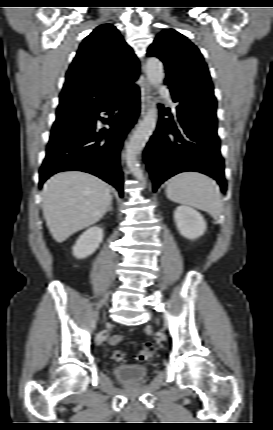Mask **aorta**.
Returning a JSON list of instances; mask_svg holds the SVG:
<instances>
[{"label":"aorta","mask_w":273,"mask_h":430,"mask_svg":"<svg viewBox=\"0 0 273 430\" xmlns=\"http://www.w3.org/2000/svg\"><path fill=\"white\" fill-rule=\"evenodd\" d=\"M146 73L152 86L156 87L162 83L165 76L162 62L159 59L150 58L147 61ZM157 116V106L153 103L147 115L138 125L130 137L129 142L126 144L125 161L127 167L138 180L143 182L145 181V177L143 170L140 168L138 156L156 127Z\"/></svg>","instance_id":"1"}]
</instances>
